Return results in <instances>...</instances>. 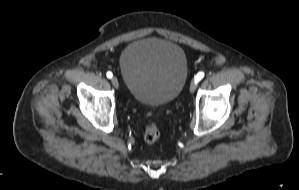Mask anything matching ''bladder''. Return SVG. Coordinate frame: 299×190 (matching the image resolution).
Wrapping results in <instances>:
<instances>
[{
    "mask_svg": "<svg viewBox=\"0 0 299 190\" xmlns=\"http://www.w3.org/2000/svg\"><path fill=\"white\" fill-rule=\"evenodd\" d=\"M119 67L132 96L140 103L157 106L175 99L188 75V60L177 44L143 38L121 53Z\"/></svg>",
    "mask_w": 299,
    "mask_h": 190,
    "instance_id": "bladder-1",
    "label": "bladder"
}]
</instances>
